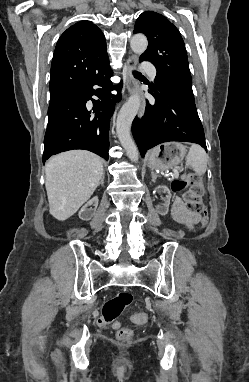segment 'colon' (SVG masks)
Returning <instances> with one entry per match:
<instances>
[{
    "instance_id": "obj_1",
    "label": "colon",
    "mask_w": 249,
    "mask_h": 382,
    "mask_svg": "<svg viewBox=\"0 0 249 382\" xmlns=\"http://www.w3.org/2000/svg\"><path fill=\"white\" fill-rule=\"evenodd\" d=\"M187 186L189 188L184 193V201L189 212L199 214L202 217V224L205 225L208 218V212L202 202L204 189L200 178L196 174H192L190 179H178L172 182V190L180 192ZM132 302V295L127 291H121L115 296L107 300L102 307V315L98 321L100 325L111 324L114 329H118L117 338L122 342H129L133 336L130 328H120V323L117 318L123 310ZM133 321L144 324L148 321L146 312H138L133 316ZM120 328V329H119Z\"/></svg>"
}]
</instances>
